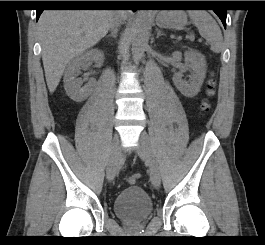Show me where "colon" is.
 I'll return each mask as SVG.
<instances>
[{"label": "colon", "instance_id": "5ec220e1", "mask_svg": "<svg viewBox=\"0 0 265 245\" xmlns=\"http://www.w3.org/2000/svg\"><path fill=\"white\" fill-rule=\"evenodd\" d=\"M215 86H216V82L214 79L210 78L208 81H207V84H206V94L207 96H213L214 95V91H215ZM208 105L207 103H203L202 104V108L205 110L207 109ZM141 178V174L140 173H134L132 174L130 177H129V182L131 183H135L137 182L139 179Z\"/></svg>", "mask_w": 265, "mask_h": 245}]
</instances>
